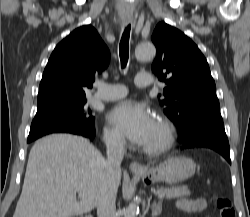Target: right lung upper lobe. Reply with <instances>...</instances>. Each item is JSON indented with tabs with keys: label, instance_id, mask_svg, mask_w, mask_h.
Segmentation results:
<instances>
[{
	"label": "right lung upper lobe",
	"instance_id": "obj_1",
	"mask_svg": "<svg viewBox=\"0 0 250 217\" xmlns=\"http://www.w3.org/2000/svg\"><path fill=\"white\" fill-rule=\"evenodd\" d=\"M110 53L91 25L77 28L52 52L39 86L37 110L85 99L95 75L109 64Z\"/></svg>",
	"mask_w": 250,
	"mask_h": 217
}]
</instances>
